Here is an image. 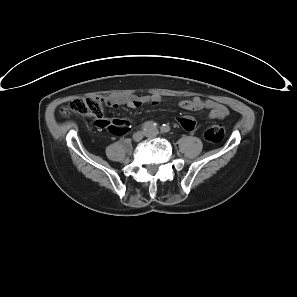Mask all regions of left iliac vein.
<instances>
[{
    "label": "left iliac vein",
    "instance_id": "4c4485c4",
    "mask_svg": "<svg viewBox=\"0 0 297 297\" xmlns=\"http://www.w3.org/2000/svg\"><path fill=\"white\" fill-rule=\"evenodd\" d=\"M156 134V129H153V130H151V131H148V132H146V136L147 137H152V136H154Z\"/></svg>",
    "mask_w": 297,
    "mask_h": 297
}]
</instances>
